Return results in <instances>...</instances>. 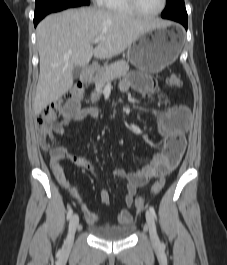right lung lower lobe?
I'll use <instances>...</instances> for the list:
<instances>
[{
  "label": "right lung lower lobe",
  "mask_w": 227,
  "mask_h": 265,
  "mask_svg": "<svg viewBox=\"0 0 227 265\" xmlns=\"http://www.w3.org/2000/svg\"><path fill=\"white\" fill-rule=\"evenodd\" d=\"M40 20H34V24L35 26L37 25V23L39 22Z\"/></svg>",
  "instance_id": "right-lung-lower-lobe-1"
}]
</instances>
